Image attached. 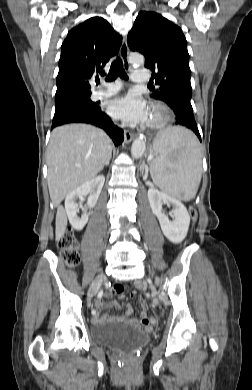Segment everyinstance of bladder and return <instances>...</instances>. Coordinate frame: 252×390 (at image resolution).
I'll return each mask as SVG.
<instances>
[{"mask_svg":"<svg viewBox=\"0 0 252 390\" xmlns=\"http://www.w3.org/2000/svg\"><path fill=\"white\" fill-rule=\"evenodd\" d=\"M91 340L109 348L130 351L150 340L147 333L133 329L129 325L116 322H102L92 325Z\"/></svg>","mask_w":252,"mask_h":390,"instance_id":"bladder-1","label":"bladder"}]
</instances>
